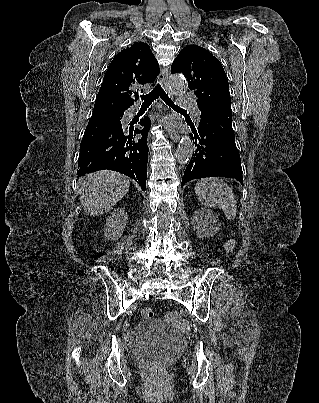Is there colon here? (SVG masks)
I'll return each mask as SVG.
<instances>
[{"instance_id":"obj_1","label":"colon","mask_w":319,"mask_h":403,"mask_svg":"<svg viewBox=\"0 0 319 403\" xmlns=\"http://www.w3.org/2000/svg\"><path fill=\"white\" fill-rule=\"evenodd\" d=\"M232 246H233L232 243L227 244V247H228V248H231ZM141 314H142V316H143L145 319H147V318L153 317L154 312H153V309H152V308H150V307H144V308L142 309V311H141ZM150 369L153 371V373L155 374V377H156L159 381H161V382H164V381H165L166 376H167V370L165 369L164 366H162V365L159 364V363H153V364L151 365V368H150Z\"/></svg>"}]
</instances>
